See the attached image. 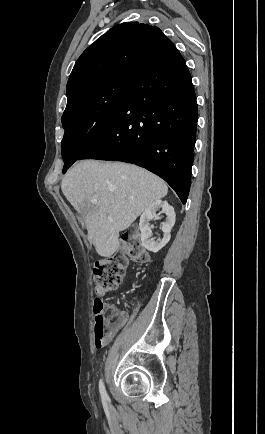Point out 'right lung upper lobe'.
I'll return each instance as SVG.
<instances>
[{
  "instance_id": "cb5924a9",
  "label": "right lung upper lobe",
  "mask_w": 265,
  "mask_h": 434,
  "mask_svg": "<svg viewBox=\"0 0 265 434\" xmlns=\"http://www.w3.org/2000/svg\"><path fill=\"white\" fill-rule=\"evenodd\" d=\"M173 46L156 26L138 22L117 25L82 53L71 72L67 91L107 76H137Z\"/></svg>"
}]
</instances>
